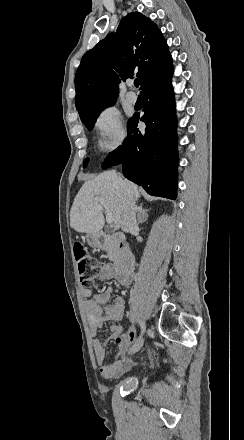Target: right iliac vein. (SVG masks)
Segmentation results:
<instances>
[{
    "label": "right iliac vein",
    "mask_w": 244,
    "mask_h": 440,
    "mask_svg": "<svg viewBox=\"0 0 244 440\" xmlns=\"http://www.w3.org/2000/svg\"><path fill=\"white\" fill-rule=\"evenodd\" d=\"M143 344H144V339L143 338L139 339L131 346V348L128 350V353L134 354V353L138 352L141 349V347L143 346Z\"/></svg>",
    "instance_id": "1"
}]
</instances>
